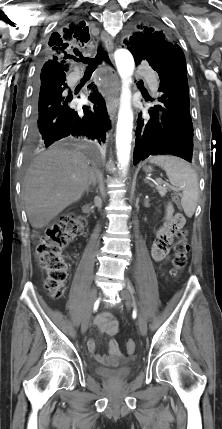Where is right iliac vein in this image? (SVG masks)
I'll use <instances>...</instances> for the list:
<instances>
[{"mask_svg":"<svg viewBox=\"0 0 222 429\" xmlns=\"http://www.w3.org/2000/svg\"><path fill=\"white\" fill-rule=\"evenodd\" d=\"M96 299H97V288L94 287L91 289V291L88 295L87 302H86V308H85L84 316H83L82 323H81V331L83 334L88 329L91 311H92V308H93V305H94Z\"/></svg>","mask_w":222,"mask_h":429,"instance_id":"obj_1","label":"right iliac vein"}]
</instances>
